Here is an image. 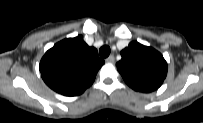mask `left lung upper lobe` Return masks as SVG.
I'll use <instances>...</instances> for the list:
<instances>
[{
	"instance_id": "1",
	"label": "left lung upper lobe",
	"mask_w": 203,
	"mask_h": 123,
	"mask_svg": "<svg viewBox=\"0 0 203 123\" xmlns=\"http://www.w3.org/2000/svg\"><path fill=\"white\" fill-rule=\"evenodd\" d=\"M116 64L124 81L132 89L152 92L158 89L167 75V62L155 49L133 41L121 51Z\"/></svg>"
}]
</instances>
